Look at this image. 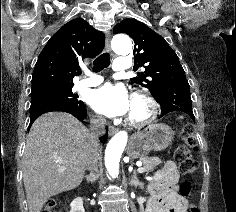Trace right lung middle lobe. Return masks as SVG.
Here are the masks:
<instances>
[{"instance_id": "1", "label": "right lung middle lobe", "mask_w": 236, "mask_h": 212, "mask_svg": "<svg viewBox=\"0 0 236 212\" xmlns=\"http://www.w3.org/2000/svg\"><path fill=\"white\" fill-rule=\"evenodd\" d=\"M72 87L73 85L63 86V87H49V88L41 89L35 92H31V98L46 97L53 100L69 103L72 105L83 104L82 101L78 100V95H75L72 93Z\"/></svg>"}]
</instances>
